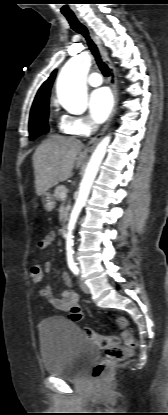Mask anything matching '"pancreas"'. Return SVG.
Returning <instances> with one entry per match:
<instances>
[{"label": "pancreas", "instance_id": "obj_1", "mask_svg": "<svg viewBox=\"0 0 168 415\" xmlns=\"http://www.w3.org/2000/svg\"><path fill=\"white\" fill-rule=\"evenodd\" d=\"M62 192H67V188L65 186H62V185L57 186L56 189L54 190V197L56 198V200L64 202L65 199H62L60 197V194Z\"/></svg>", "mask_w": 168, "mask_h": 415}]
</instances>
